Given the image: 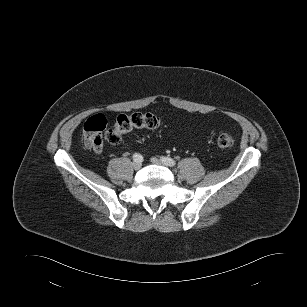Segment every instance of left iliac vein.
<instances>
[{"label":"left iliac vein","mask_w":307,"mask_h":307,"mask_svg":"<svg viewBox=\"0 0 307 307\" xmlns=\"http://www.w3.org/2000/svg\"><path fill=\"white\" fill-rule=\"evenodd\" d=\"M151 162L154 163V164H158V165H165L161 160H159L158 158L156 157H152L151 158Z\"/></svg>","instance_id":"4c4485c4"}]
</instances>
